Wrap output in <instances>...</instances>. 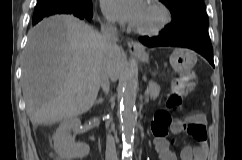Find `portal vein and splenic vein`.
Masks as SVG:
<instances>
[{
  "mask_svg": "<svg viewBox=\"0 0 242 160\" xmlns=\"http://www.w3.org/2000/svg\"><path fill=\"white\" fill-rule=\"evenodd\" d=\"M145 95H146V96L148 95V91L145 92Z\"/></svg>",
  "mask_w": 242,
  "mask_h": 160,
  "instance_id": "obj_1",
  "label": "portal vein and splenic vein"
}]
</instances>
